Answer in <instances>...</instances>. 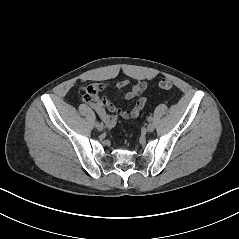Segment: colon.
<instances>
[{
  "label": "colon",
  "instance_id": "1",
  "mask_svg": "<svg viewBox=\"0 0 239 239\" xmlns=\"http://www.w3.org/2000/svg\"><path fill=\"white\" fill-rule=\"evenodd\" d=\"M158 87L160 89H163V90H169L172 88V82L168 79H161L159 82H158ZM84 92H93V89L92 88H85Z\"/></svg>",
  "mask_w": 239,
  "mask_h": 239
}]
</instances>
